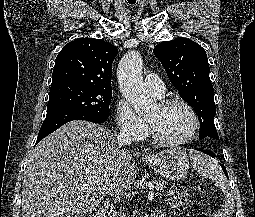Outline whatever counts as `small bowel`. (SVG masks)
I'll list each match as a JSON object with an SVG mask.
<instances>
[{
	"label": "small bowel",
	"instance_id": "1",
	"mask_svg": "<svg viewBox=\"0 0 255 217\" xmlns=\"http://www.w3.org/2000/svg\"><path fill=\"white\" fill-rule=\"evenodd\" d=\"M222 216H223L222 213L218 215V217H222ZM153 217H163V214L161 212H156L153 214Z\"/></svg>",
	"mask_w": 255,
	"mask_h": 217
}]
</instances>
